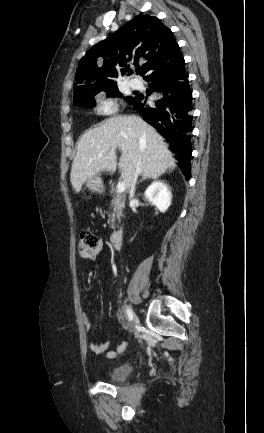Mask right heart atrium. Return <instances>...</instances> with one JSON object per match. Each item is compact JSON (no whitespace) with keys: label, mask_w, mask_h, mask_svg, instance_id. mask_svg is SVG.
Listing matches in <instances>:
<instances>
[{"label":"right heart atrium","mask_w":264,"mask_h":433,"mask_svg":"<svg viewBox=\"0 0 264 433\" xmlns=\"http://www.w3.org/2000/svg\"><path fill=\"white\" fill-rule=\"evenodd\" d=\"M95 111L102 116L113 115L117 111V104L112 98L100 96L96 100Z\"/></svg>","instance_id":"d8ad5b80"}]
</instances>
